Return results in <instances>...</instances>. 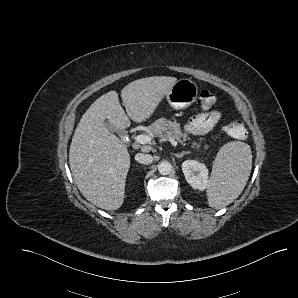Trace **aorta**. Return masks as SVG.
Masks as SVG:
<instances>
[{
    "label": "aorta",
    "instance_id": "1",
    "mask_svg": "<svg viewBox=\"0 0 298 298\" xmlns=\"http://www.w3.org/2000/svg\"><path fill=\"white\" fill-rule=\"evenodd\" d=\"M157 168H158V172L161 175H168L172 171V164L168 160H162L158 164V167Z\"/></svg>",
    "mask_w": 298,
    "mask_h": 298
}]
</instances>
